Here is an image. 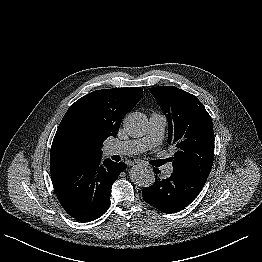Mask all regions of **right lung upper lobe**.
I'll return each instance as SVG.
<instances>
[{"mask_svg": "<svg viewBox=\"0 0 262 262\" xmlns=\"http://www.w3.org/2000/svg\"><path fill=\"white\" fill-rule=\"evenodd\" d=\"M143 89L96 90L73 103L64 115L50 151V166L102 157L103 142L116 136L123 117L139 102Z\"/></svg>", "mask_w": 262, "mask_h": 262, "instance_id": "cb5924a9", "label": "right lung upper lobe"}]
</instances>
